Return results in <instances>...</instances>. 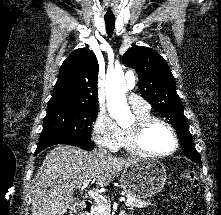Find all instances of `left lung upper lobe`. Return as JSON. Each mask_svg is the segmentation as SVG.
I'll use <instances>...</instances> for the list:
<instances>
[{
	"instance_id": "left-lung-upper-lobe-1",
	"label": "left lung upper lobe",
	"mask_w": 221,
	"mask_h": 215,
	"mask_svg": "<svg viewBox=\"0 0 221 215\" xmlns=\"http://www.w3.org/2000/svg\"><path fill=\"white\" fill-rule=\"evenodd\" d=\"M123 61L137 71L141 95L176 129L185 155L201 163L176 92L174 77L164 58L150 48L135 46L126 51Z\"/></svg>"
}]
</instances>
